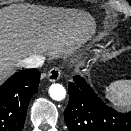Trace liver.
<instances>
[{
  "instance_id": "obj_1",
  "label": "liver",
  "mask_w": 131,
  "mask_h": 131,
  "mask_svg": "<svg viewBox=\"0 0 131 131\" xmlns=\"http://www.w3.org/2000/svg\"><path fill=\"white\" fill-rule=\"evenodd\" d=\"M95 27L87 13L28 4L0 9V83L23 58L67 53L90 38Z\"/></svg>"
}]
</instances>
